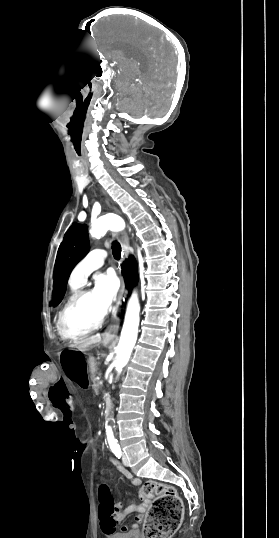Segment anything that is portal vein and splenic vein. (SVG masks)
I'll use <instances>...</instances> for the list:
<instances>
[{"label": "portal vein and splenic vein", "mask_w": 279, "mask_h": 538, "mask_svg": "<svg viewBox=\"0 0 279 538\" xmlns=\"http://www.w3.org/2000/svg\"><path fill=\"white\" fill-rule=\"evenodd\" d=\"M99 383H100V385H103V382H102V380H99Z\"/></svg>", "instance_id": "obj_1"}]
</instances>
